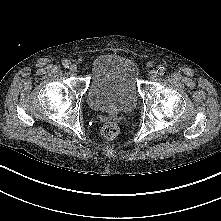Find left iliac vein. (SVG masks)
<instances>
[{
  "label": "left iliac vein",
  "mask_w": 221,
  "mask_h": 221,
  "mask_svg": "<svg viewBox=\"0 0 221 221\" xmlns=\"http://www.w3.org/2000/svg\"><path fill=\"white\" fill-rule=\"evenodd\" d=\"M157 76H158V73H157L156 70H151V71L149 72V77H150L151 79H155Z\"/></svg>",
  "instance_id": "obj_1"
}]
</instances>
